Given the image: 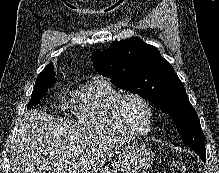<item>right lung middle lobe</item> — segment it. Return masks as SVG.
I'll list each match as a JSON object with an SVG mask.
<instances>
[{
	"label": "right lung middle lobe",
	"mask_w": 219,
	"mask_h": 173,
	"mask_svg": "<svg viewBox=\"0 0 219 173\" xmlns=\"http://www.w3.org/2000/svg\"><path fill=\"white\" fill-rule=\"evenodd\" d=\"M56 82L55 73H42L39 74L36 83L35 88L31 95V100L27 105V109H30L34 105H37L39 101L44 96L47 89L53 85Z\"/></svg>",
	"instance_id": "dd1d6c3e"
}]
</instances>
